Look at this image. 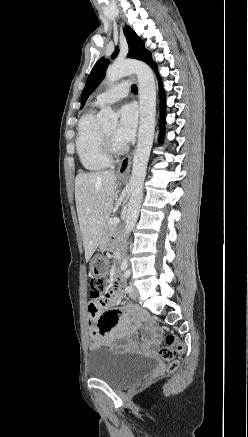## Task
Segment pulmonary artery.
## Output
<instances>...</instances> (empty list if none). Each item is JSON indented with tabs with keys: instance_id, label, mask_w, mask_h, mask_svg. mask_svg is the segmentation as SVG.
Masks as SVG:
<instances>
[{
	"instance_id": "e3ab8cb5",
	"label": "pulmonary artery",
	"mask_w": 248,
	"mask_h": 437,
	"mask_svg": "<svg viewBox=\"0 0 248 437\" xmlns=\"http://www.w3.org/2000/svg\"><path fill=\"white\" fill-rule=\"evenodd\" d=\"M130 85L128 81H122L101 92L95 99V106L101 107L107 104L114 103L128 95Z\"/></svg>"
}]
</instances>
